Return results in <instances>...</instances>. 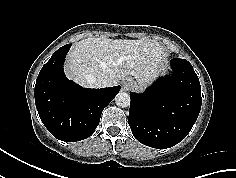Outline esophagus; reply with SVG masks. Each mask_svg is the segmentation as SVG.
<instances>
[{
    "label": "esophagus",
    "mask_w": 236,
    "mask_h": 178,
    "mask_svg": "<svg viewBox=\"0 0 236 178\" xmlns=\"http://www.w3.org/2000/svg\"><path fill=\"white\" fill-rule=\"evenodd\" d=\"M131 81H133L132 78H126V79H124V81H123L124 88H126V87H127V84H129Z\"/></svg>",
    "instance_id": "esophagus-1"
}]
</instances>
